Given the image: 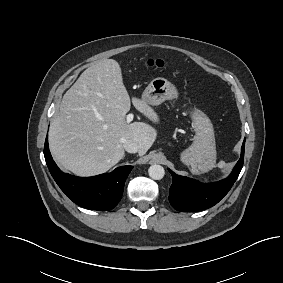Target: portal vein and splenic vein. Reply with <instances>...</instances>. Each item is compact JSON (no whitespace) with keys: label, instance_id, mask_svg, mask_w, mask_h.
I'll return each mask as SVG.
<instances>
[{"label":"portal vein and splenic vein","instance_id":"18ae733b","mask_svg":"<svg viewBox=\"0 0 283 283\" xmlns=\"http://www.w3.org/2000/svg\"><path fill=\"white\" fill-rule=\"evenodd\" d=\"M133 118H134V115L132 113L128 114L126 116V122L130 123L133 120Z\"/></svg>","mask_w":283,"mask_h":283}]
</instances>
